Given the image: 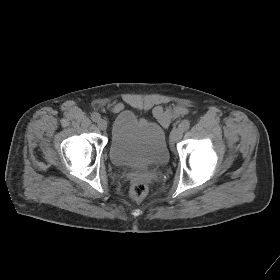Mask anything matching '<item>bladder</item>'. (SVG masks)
Wrapping results in <instances>:
<instances>
[{
  "mask_svg": "<svg viewBox=\"0 0 280 280\" xmlns=\"http://www.w3.org/2000/svg\"><path fill=\"white\" fill-rule=\"evenodd\" d=\"M108 151L114 165L129 168L163 166L170 156L164 128L129 110L116 115Z\"/></svg>",
  "mask_w": 280,
  "mask_h": 280,
  "instance_id": "obj_1",
  "label": "bladder"
}]
</instances>
